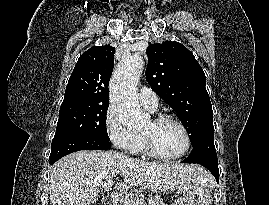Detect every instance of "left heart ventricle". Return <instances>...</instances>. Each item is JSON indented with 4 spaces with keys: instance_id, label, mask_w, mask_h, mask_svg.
<instances>
[{
    "instance_id": "1",
    "label": "left heart ventricle",
    "mask_w": 269,
    "mask_h": 205,
    "mask_svg": "<svg viewBox=\"0 0 269 205\" xmlns=\"http://www.w3.org/2000/svg\"><path fill=\"white\" fill-rule=\"evenodd\" d=\"M141 134L147 136L156 150L164 155H176L185 148V137L182 130L170 121L159 125H154L150 121Z\"/></svg>"
}]
</instances>
